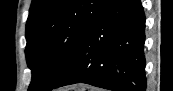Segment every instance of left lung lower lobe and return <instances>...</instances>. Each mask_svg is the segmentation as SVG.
<instances>
[{"instance_id": "1", "label": "left lung lower lobe", "mask_w": 173, "mask_h": 91, "mask_svg": "<svg viewBox=\"0 0 173 91\" xmlns=\"http://www.w3.org/2000/svg\"><path fill=\"white\" fill-rule=\"evenodd\" d=\"M144 43L140 0H111L52 89L81 82L113 91H145Z\"/></svg>"}]
</instances>
